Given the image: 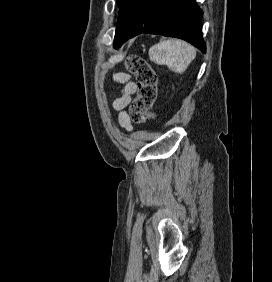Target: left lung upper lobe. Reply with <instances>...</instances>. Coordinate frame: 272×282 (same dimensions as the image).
<instances>
[{"instance_id": "5c2ea615", "label": "left lung upper lobe", "mask_w": 272, "mask_h": 282, "mask_svg": "<svg viewBox=\"0 0 272 282\" xmlns=\"http://www.w3.org/2000/svg\"><path fill=\"white\" fill-rule=\"evenodd\" d=\"M125 0H117L119 7L124 3Z\"/></svg>"}]
</instances>
